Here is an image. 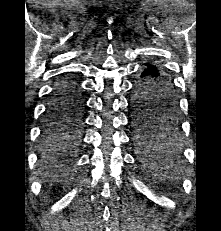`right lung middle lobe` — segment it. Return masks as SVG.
Masks as SVG:
<instances>
[{
  "mask_svg": "<svg viewBox=\"0 0 221 231\" xmlns=\"http://www.w3.org/2000/svg\"><path fill=\"white\" fill-rule=\"evenodd\" d=\"M83 99L75 102L51 103L46 112L42 143L56 149L72 145L78 138L83 116Z\"/></svg>",
  "mask_w": 221,
  "mask_h": 231,
  "instance_id": "dd1d6c3e",
  "label": "right lung middle lobe"
}]
</instances>
